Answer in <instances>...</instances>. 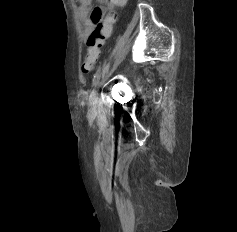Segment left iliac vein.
<instances>
[{"label": "left iliac vein", "mask_w": 237, "mask_h": 232, "mask_svg": "<svg viewBox=\"0 0 237 232\" xmlns=\"http://www.w3.org/2000/svg\"><path fill=\"white\" fill-rule=\"evenodd\" d=\"M102 85V80H98L95 84V89L92 91V93L89 96V109L91 112H95L97 109V102H98V93L97 89Z\"/></svg>", "instance_id": "left-iliac-vein-1"}]
</instances>
